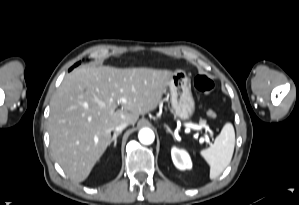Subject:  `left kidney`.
Returning <instances> with one entry per match:
<instances>
[{"instance_id":"1","label":"left kidney","mask_w":299,"mask_h":205,"mask_svg":"<svg viewBox=\"0 0 299 205\" xmlns=\"http://www.w3.org/2000/svg\"><path fill=\"white\" fill-rule=\"evenodd\" d=\"M171 157L174 165L178 169L180 170L191 169L192 162L189 154L185 150L173 147L171 149Z\"/></svg>"}]
</instances>
